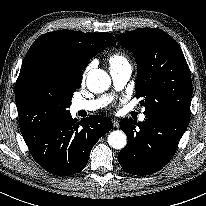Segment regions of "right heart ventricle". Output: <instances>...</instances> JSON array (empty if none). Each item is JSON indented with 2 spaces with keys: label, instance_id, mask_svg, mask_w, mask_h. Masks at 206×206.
Here are the masks:
<instances>
[{
  "label": "right heart ventricle",
  "instance_id": "obj_1",
  "mask_svg": "<svg viewBox=\"0 0 206 206\" xmlns=\"http://www.w3.org/2000/svg\"><path fill=\"white\" fill-rule=\"evenodd\" d=\"M110 68L120 64L128 63L126 56L122 53H114L110 55L109 59Z\"/></svg>",
  "mask_w": 206,
  "mask_h": 206
}]
</instances>
